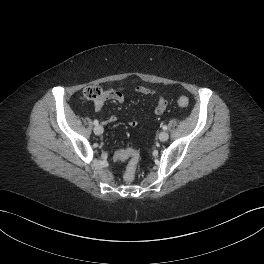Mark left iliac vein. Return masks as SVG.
I'll list each match as a JSON object with an SVG mask.
<instances>
[{
    "label": "left iliac vein",
    "instance_id": "obj_1",
    "mask_svg": "<svg viewBox=\"0 0 264 264\" xmlns=\"http://www.w3.org/2000/svg\"><path fill=\"white\" fill-rule=\"evenodd\" d=\"M158 138L162 142L167 141L169 138V134L166 131H162L159 133Z\"/></svg>",
    "mask_w": 264,
    "mask_h": 264
}]
</instances>
